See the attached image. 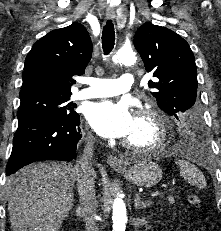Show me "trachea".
<instances>
[{"mask_svg": "<svg viewBox=\"0 0 221 231\" xmlns=\"http://www.w3.org/2000/svg\"><path fill=\"white\" fill-rule=\"evenodd\" d=\"M115 44L114 25L111 20H108L102 31V47L105 55H108Z\"/></svg>", "mask_w": 221, "mask_h": 231, "instance_id": "1", "label": "trachea"}]
</instances>
